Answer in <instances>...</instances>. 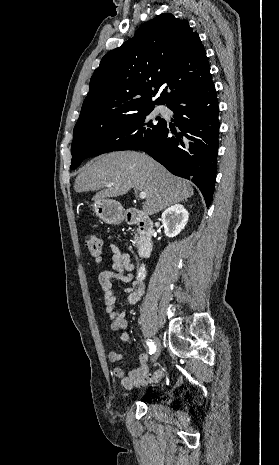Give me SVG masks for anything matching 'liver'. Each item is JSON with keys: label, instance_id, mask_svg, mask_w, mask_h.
I'll return each mask as SVG.
<instances>
[{"label": "liver", "instance_id": "1", "mask_svg": "<svg viewBox=\"0 0 279 465\" xmlns=\"http://www.w3.org/2000/svg\"><path fill=\"white\" fill-rule=\"evenodd\" d=\"M132 188L146 193L143 204L146 215L156 214L194 194L190 182L136 151H116L95 158L81 168L74 185L78 193L98 191L92 198L94 201L125 195Z\"/></svg>", "mask_w": 279, "mask_h": 465}]
</instances>
